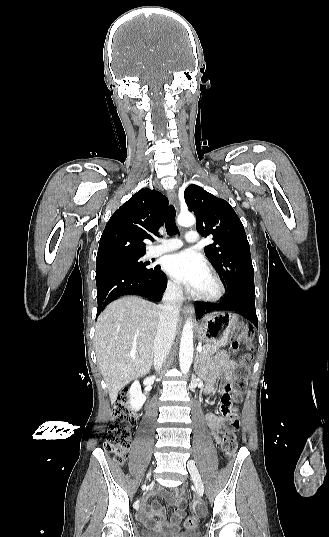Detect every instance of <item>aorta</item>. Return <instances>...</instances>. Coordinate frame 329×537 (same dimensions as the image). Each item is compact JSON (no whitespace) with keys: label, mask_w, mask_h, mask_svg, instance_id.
Here are the masks:
<instances>
[{"label":"aorta","mask_w":329,"mask_h":537,"mask_svg":"<svg viewBox=\"0 0 329 537\" xmlns=\"http://www.w3.org/2000/svg\"><path fill=\"white\" fill-rule=\"evenodd\" d=\"M180 226H192L195 217L189 212L180 213L177 219ZM193 359V327L192 322L187 320L182 331L179 351V364L182 373H188Z\"/></svg>","instance_id":"obj_1"}]
</instances>
